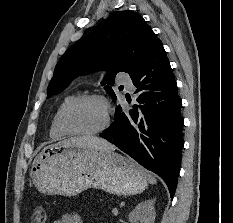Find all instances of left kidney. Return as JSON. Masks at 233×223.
Here are the masks:
<instances>
[{"mask_svg": "<svg viewBox=\"0 0 233 223\" xmlns=\"http://www.w3.org/2000/svg\"><path fill=\"white\" fill-rule=\"evenodd\" d=\"M155 199H145L136 205L129 213L131 223H154L156 211L154 207Z\"/></svg>", "mask_w": 233, "mask_h": 223, "instance_id": "obj_1", "label": "left kidney"}]
</instances>
